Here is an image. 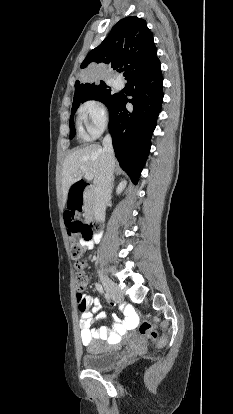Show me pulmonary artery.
Wrapping results in <instances>:
<instances>
[{
  "label": "pulmonary artery",
  "instance_id": "1",
  "mask_svg": "<svg viewBox=\"0 0 233 414\" xmlns=\"http://www.w3.org/2000/svg\"><path fill=\"white\" fill-rule=\"evenodd\" d=\"M114 85L117 89H122L124 87V83L121 80H116Z\"/></svg>",
  "mask_w": 233,
  "mask_h": 414
}]
</instances>
